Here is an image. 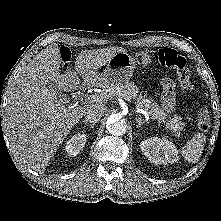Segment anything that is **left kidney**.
<instances>
[{"label": "left kidney", "instance_id": "5707ae66", "mask_svg": "<svg viewBox=\"0 0 221 221\" xmlns=\"http://www.w3.org/2000/svg\"><path fill=\"white\" fill-rule=\"evenodd\" d=\"M140 148L150 162L156 165L174 163L179 159L177 148L166 138H148L141 142Z\"/></svg>", "mask_w": 221, "mask_h": 221}]
</instances>
